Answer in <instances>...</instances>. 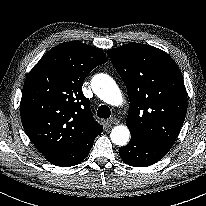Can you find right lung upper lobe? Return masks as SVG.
<instances>
[{
	"instance_id": "1",
	"label": "right lung upper lobe",
	"mask_w": 206,
	"mask_h": 206,
	"mask_svg": "<svg viewBox=\"0 0 206 206\" xmlns=\"http://www.w3.org/2000/svg\"><path fill=\"white\" fill-rule=\"evenodd\" d=\"M108 59L102 50L65 42L48 51L29 72L22 91V125L46 157L66 151L103 130L83 95L86 76Z\"/></svg>"
}]
</instances>
